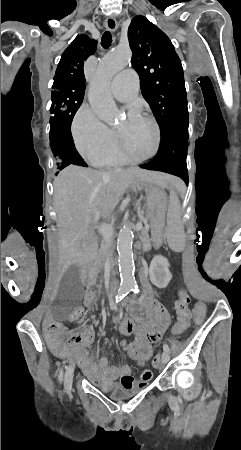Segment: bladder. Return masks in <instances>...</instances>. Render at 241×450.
<instances>
[{"mask_svg": "<svg viewBox=\"0 0 241 450\" xmlns=\"http://www.w3.org/2000/svg\"><path fill=\"white\" fill-rule=\"evenodd\" d=\"M133 392L124 387H116L111 391V397L115 400H125L130 398Z\"/></svg>", "mask_w": 241, "mask_h": 450, "instance_id": "31cf9c89", "label": "bladder"}]
</instances>
